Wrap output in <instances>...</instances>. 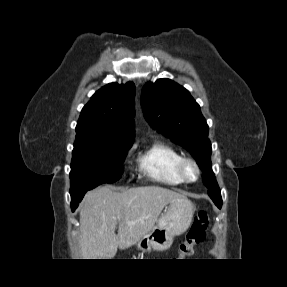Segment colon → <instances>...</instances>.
<instances>
[{
	"mask_svg": "<svg viewBox=\"0 0 287 287\" xmlns=\"http://www.w3.org/2000/svg\"><path fill=\"white\" fill-rule=\"evenodd\" d=\"M208 225V214L205 211H199L194 217L193 223L186 235V239L180 245L179 251L182 258L190 256L194 246L204 240Z\"/></svg>",
	"mask_w": 287,
	"mask_h": 287,
	"instance_id": "5ec220e1",
	"label": "colon"
}]
</instances>
